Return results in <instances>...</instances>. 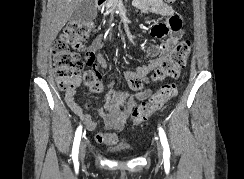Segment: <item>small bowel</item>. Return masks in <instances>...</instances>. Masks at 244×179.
Returning <instances> with one entry per match:
<instances>
[{
	"mask_svg": "<svg viewBox=\"0 0 244 179\" xmlns=\"http://www.w3.org/2000/svg\"><path fill=\"white\" fill-rule=\"evenodd\" d=\"M139 15L155 14L161 17L162 21L154 24L150 28V35L153 38L164 39L162 43L150 44L145 49V55L149 59L146 64L138 66L134 70H124L122 78L129 80L133 77H145L152 71L156 70L163 61L168 57L171 49L177 44L182 36L181 18L175 13L173 8L163 0H137L134 3ZM106 41V36L98 34L88 46L86 54L90 60L95 59L97 66L102 70H108L109 64L106 61L100 49ZM110 85L114 86L115 79L110 80ZM77 89H66L64 92V100L71 111L85 124L89 130L97 127V121L90 114H87L83 107L76 99ZM115 95L128 101V106L124 112L120 114L106 111L104 108L97 110L98 115L102 119V124L106 129L121 130L124 128L126 120L138 101L150 95V91L146 90L136 95H130L125 91L118 90ZM99 143L106 145H114L120 141V137L116 133L101 132L96 136Z\"/></svg>",
	"mask_w": 244,
	"mask_h": 179,
	"instance_id": "obj_1",
	"label": "small bowel"
}]
</instances>
